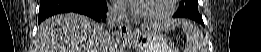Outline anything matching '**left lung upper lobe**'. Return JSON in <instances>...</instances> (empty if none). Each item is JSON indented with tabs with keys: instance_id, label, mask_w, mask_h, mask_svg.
Listing matches in <instances>:
<instances>
[{
	"instance_id": "1",
	"label": "left lung upper lobe",
	"mask_w": 261,
	"mask_h": 52,
	"mask_svg": "<svg viewBox=\"0 0 261 52\" xmlns=\"http://www.w3.org/2000/svg\"><path fill=\"white\" fill-rule=\"evenodd\" d=\"M177 17H188L196 20L199 23H203L202 17L198 11V1L197 0H182Z\"/></svg>"
}]
</instances>
